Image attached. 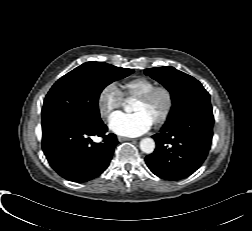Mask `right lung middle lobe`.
<instances>
[{"label": "right lung middle lobe", "mask_w": 252, "mask_h": 231, "mask_svg": "<svg viewBox=\"0 0 252 231\" xmlns=\"http://www.w3.org/2000/svg\"><path fill=\"white\" fill-rule=\"evenodd\" d=\"M133 72L132 69L90 61L67 73L52 86L44 100L42 130L62 121L99 122L98 98L102 90Z\"/></svg>", "instance_id": "dd1d6c3e"}]
</instances>
